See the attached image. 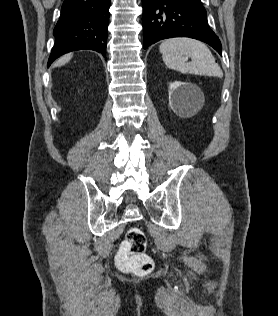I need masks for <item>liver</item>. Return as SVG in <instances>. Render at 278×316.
Listing matches in <instances>:
<instances>
[{"label": "liver", "mask_w": 278, "mask_h": 316, "mask_svg": "<svg viewBox=\"0 0 278 316\" xmlns=\"http://www.w3.org/2000/svg\"><path fill=\"white\" fill-rule=\"evenodd\" d=\"M72 58V54H67L63 57H61L56 63L55 66H62L65 65L66 63H68L70 61V59Z\"/></svg>", "instance_id": "obj_1"}]
</instances>
